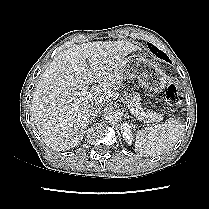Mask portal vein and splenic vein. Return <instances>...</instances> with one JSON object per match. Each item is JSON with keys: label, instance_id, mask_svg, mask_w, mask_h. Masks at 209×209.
<instances>
[{"label": "portal vein and splenic vein", "instance_id": "1", "mask_svg": "<svg viewBox=\"0 0 209 209\" xmlns=\"http://www.w3.org/2000/svg\"><path fill=\"white\" fill-rule=\"evenodd\" d=\"M77 95L78 96H82V97H87L89 95V91L86 87H83L79 92H77ZM131 113L135 116V110L134 109H131L129 108Z\"/></svg>", "mask_w": 209, "mask_h": 209}]
</instances>
